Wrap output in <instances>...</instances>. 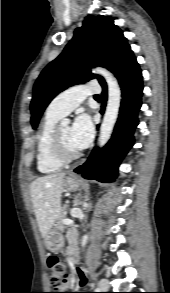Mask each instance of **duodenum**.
I'll return each instance as SVG.
<instances>
[{
	"instance_id": "duodenum-1",
	"label": "duodenum",
	"mask_w": 170,
	"mask_h": 293,
	"mask_svg": "<svg viewBox=\"0 0 170 293\" xmlns=\"http://www.w3.org/2000/svg\"><path fill=\"white\" fill-rule=\"evenodd\" d=\"M69 253L73 259H76L78 257V250L74 241L71 242L69 246Z\"/></svg>"
}]
</instances>
